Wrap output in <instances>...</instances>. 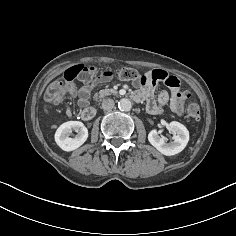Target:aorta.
Masks as SVG:
<instances>
[{"instance_id":"762f6f07","label":"aorta","mask_w":236,"mask_h":236,"mask_svg":"<svg viewBox=\"0 0 236 236\" xmlns=\"http://www.w3.org/2000/svg\"><path fill=\"white\" fill-rule=\"evenodd\" d=\"M118 107L122 111H129L132 108V103L129 99L122 98L118 103Z\"/></svg>"}]
</instances>
